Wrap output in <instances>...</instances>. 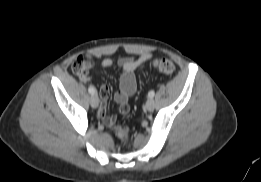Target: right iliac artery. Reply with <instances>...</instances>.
<instances>
[{"mask_svg": "<svg viewBox=\"0 0 261 182\" xmlns=\"http://www.w3.org/2000/svg\"><path fill=\"white\" fill-rule=\"evenodd\" d=\"M88 92L93 95V94L96 93V89H95L93 86H90V87L88 88Z\"/></svg>", "mask_w": 261, "mask_h": 182, "instance_id": "1", "label": "right iliac artery"}]
</instances>
